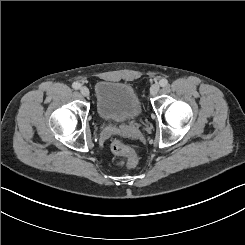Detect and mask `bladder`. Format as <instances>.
Here are the masks:
<instances>
[{"label":"bladder","mask_w":245,"mask_h":245,"mask_svg":"<svg viewBox=\"0 0 245 245\" xmlns=\"http://www.w3.org/2000/svg\"><path fill=\"white\" fill-rule=\"evenodd\" d=\"M96 106L105 120L126 121L139 113V98L134 88L128 84L109 81L96 86Z\"/></svg>","instance_id":"1"}]
</instances>
